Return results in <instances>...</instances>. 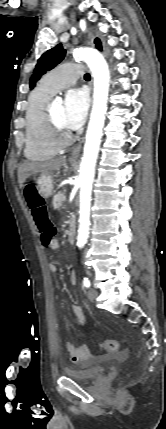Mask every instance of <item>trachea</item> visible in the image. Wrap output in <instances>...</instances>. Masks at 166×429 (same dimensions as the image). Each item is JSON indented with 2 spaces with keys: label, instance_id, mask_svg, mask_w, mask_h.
Wrapping results in <instances>:
<instances>
[{
  "label": "trachea",
  "instance_id": "trachea-1",
  "mask_svg": "<svg viewBox=\"0 0 166 429\" xmlns=\"http://www.w3.org/2000/svg\"><path fill=\"white\" fill-rule=\"evenodd\" d=\"M85 79H90V74L86 73L84 76Z\"/></svg>",
  "mask_w": 166,
  "mask_h": 429
}]
</instances>
